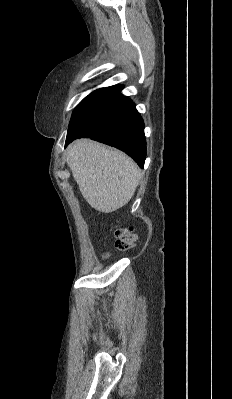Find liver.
I'll list each match as a JSON object with an SVG mask.
<instances>
[{"label": "liver", "mask_w": 232, "mask_h": 399, "mask_svg": "<svg viewBox=\"0 0 232 399\" xmlns=\"http://www.w3.org/2000/svg\"><path fill=\"white\" fill-rule=\"evenodd\" d=\"M67 164L83 198L104 213L128 203L141 178L138 166L126 154L92 140L70 144Z\"/></svg>", "instance_id": "6515ba94"}]
</instances>
